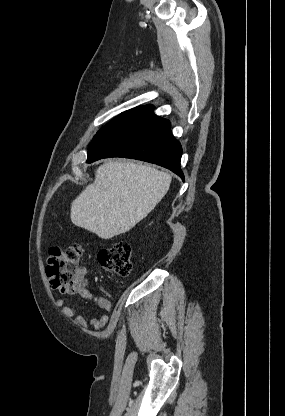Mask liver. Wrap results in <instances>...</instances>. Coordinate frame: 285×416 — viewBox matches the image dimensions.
Listing matches in <instances>:
<instances>
[{
	"instance_id": "1",
	"label": "liver",
	"mask_w": 285,
	"mask_h": 416,
	"mask_svg": "<svg viewBox=\"0 0 285 416\" xmlns=\"http://www.w3.org/2000/svg\"><path fill=\"white\" fill-rule=\"evenodd\" d=\"M170 174L134 162H108L71 204V222L110 240L129 232L161 202Z\"/></svg>"
}]
</instances>
